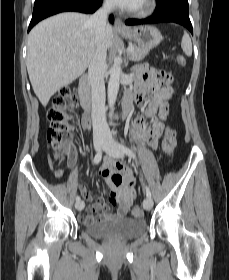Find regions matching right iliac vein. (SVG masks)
I'll return each mask as SVG.
<instances>
[{
  "label": "right iliac vein",
  "mask_w": 229,
  "mask_h": 280,
  "mask_svg": "<svg viewBox=\"0 0 229 280\" xmlns=\"http://www.w3.org/2000/svg\"><path fill=\"white\" fill-rule=\"evenodd\" d=\"M105 144V140L104 139H96L94 141V148L96 149V151H100L102 149V147ZM84 201L80 200L79 202H76L75 204V208L78 211H81L84 208Z\"/></svg>",
  "instance_id": "1"
}]
</instances>
